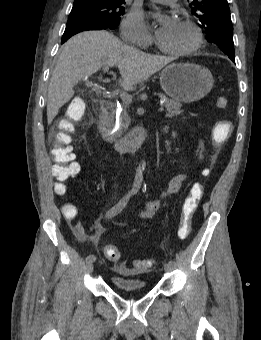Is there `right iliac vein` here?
<instances>
[{
  "label": "right iliac vein",
  "mask_w": 261,
  "mask_h": 340,
  "mask_svg": "<svg viewBox=\"0 0 261 340\" xmlns=\"http://www.w3.org/2000/svg\"><path fill=\"white\" fill-rule=\"evenodd\" d=\"M93 268H94L93 263H92V262H87V261H86V264H85V269H86V271H87L88 273H91V272L93 271Z\"/></svg>",
  "instance_id": "63e3f726"
}]
</instances>
